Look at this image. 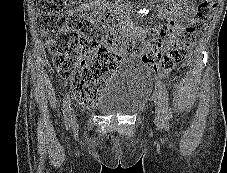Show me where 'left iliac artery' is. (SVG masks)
<instances>
[{
  "mask_svg": "<svg viewBox=\"0 0 227 173\" xmlns=\"http://www.w3.org/2000/svg\"><path fill=\"white\" fill-rule=\"evenodd\" d=\"M156 88L158 89L159 95H160L162 102H163V110H164V113H165V118H164L165 123L168 124L170 116H171V111H170V108L168 106V103H169L168 92L166 90L164 83L161 80H157Z\"/></svg>",
  "mask_w": 227,
  "mask_h": 173,
  "instance_id": "44dca946",
  "label": "left iliac artery"
}]
</instances>
